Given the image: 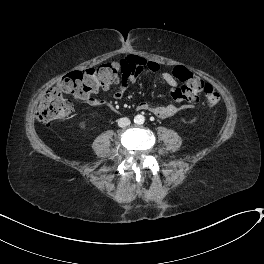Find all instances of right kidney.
I'll list each match as a JSON object with an SVG mask.
<instances>
[{
  "label": "right kidney",
  "instance_id": "1",
  "mask_svg": "<svg viewBox=\"0 0 264 264\" xmlns=\"http://www.w3.org/2000/svg\"><path fill=\"white\" fill-rule=\"evenodd\" d=\"M85 127V123H81V128H84Z\"/></svg>",
  "mask_w": 264,
  "mask_h": 264
}]
</instances>
